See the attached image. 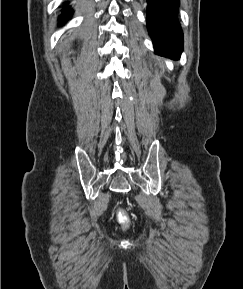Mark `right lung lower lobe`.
<instances>
[{
    "instance_id": "right-lung-lower-lobe-1",
    "label": "right lung lower lobe",
    "mask_w": 243,
    "mask_h": 289,
    "mask_svg": "<svg viewBox=\"0 0 243 289\" xmlns=\"http://www.w3.org/2000/svg\"><path fill=\"white\" fill-rule=\"evenodd\" d=\"M72 13H73L72 10H70L69 8H65L63 10L62 16H60L59 21L61 23L64 22V21H67L70 18Z\"/></svg>"
}]
</instances>
